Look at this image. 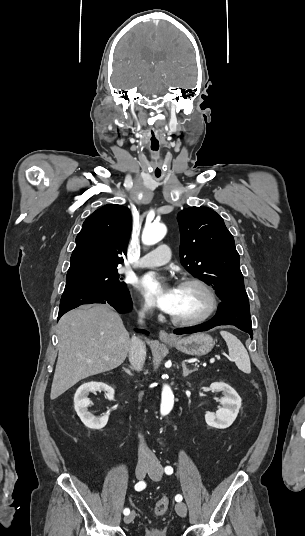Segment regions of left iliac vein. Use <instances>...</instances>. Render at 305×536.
Here are the masks:
<instances>
[{
	"instance_id": "obj_1",
	"label": "left iliac vein",
	"mask_w": 305,
	"mask_h": 536,
	"mask_svg": "<svg viewBox=\"0 0 305 536\" xmlns=\"http://www.w3.org/2000/svg\"><path fill=\"white\" fill-rule=\"evenodd\" d=\"M162 474H163V469L161 466L151 468L148 471V475L156 480H159L162 477ZM175 510L177 514L180 515L181 517H185L187 514V506L185 503H182V502L177 503L175 505Z\"/></svg>"
}]
</instances>
